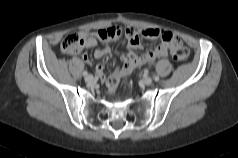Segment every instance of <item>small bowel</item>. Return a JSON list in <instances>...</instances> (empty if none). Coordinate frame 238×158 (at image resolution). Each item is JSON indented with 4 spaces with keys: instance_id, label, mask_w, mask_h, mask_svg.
<instances>
[{
    "instance_id": "small-bowel-1",
    "label": "small bowel",
    "mask_w": 238,
    "mask_h": 158,
    "mask_svg": "<svg viewBox=\"0 0 238 158\" xmlns=\"http://www.w3.org/2000/svg\"><path fill=\"white\" fill-rule=\"evenodd\" d=\"M112 29L115 35H119L122 30L116 27L109 28ZM84 43L83 47L92 48L98 45L101 42V47L98 48L94 53V58L97 60H102L103 57L110 52L109 45L100 38L99 32H88L81 31L79 32ZM126 36V47L127 53L122 55V66L115 69L109 77L104 75V66L102 63H99L96 67L97 77L106 84L109 90L113 91L115 89V84H118L120 79L128 74H130L136 67L144 65L146 63L152 62L159 58H164L169 53V47L171 44L176 42L175 36L167 31L157 28H146V29H136V28H127L125 30ZM140 36L146 39H157L161 40V43L154 49L147 50L144 54L138 56L134 54L133 50L142 49V44L140 42ZM84 59L87 57L84 55Z\"/></svg>"
}]
</instances>
